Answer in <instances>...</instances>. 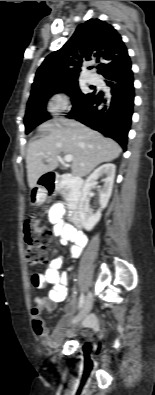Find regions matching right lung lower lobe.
<instances>
[{
  "mask_svg": "<svg viewBox=\"0 0 155 395\" xmlns=\"http://www.w3.org/2000/svg\"><path fill=\"white\" fill-rule=\"evenodd\" d=\"M103 76L111 87L110 93H89L73 105L68 117L113 138L125 151L135 96L131 65L107 71Z\"/></svg>",
  "mask_w": 155,
  "mask_h": 395,
  "instance_id": "obj_1",
  "label": "right lung lower lobe"
}]
</instances>
